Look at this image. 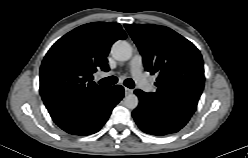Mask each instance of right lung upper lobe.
<instances>
[{
	"label": "right lung upper lobe",
	"mask_w": 248,
	"mask_h": 158,
	"mask_svg": "<svg viewBox=\"0 0 248 158\" xmlns=\"http://www.w3.org/2000/svg\"><path fill=\"white\" fill-rule=\"evenodd\" d=\"M118 23L94 22L70 31L48 51L40 68V94L49 113L78 105L106 88L94 83L98 68L108 71L111 45L125 39Z\"/></svg>",
	"instance_id": "cb5924a9"
}]
</instances>
